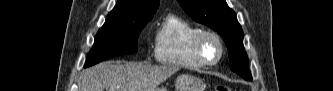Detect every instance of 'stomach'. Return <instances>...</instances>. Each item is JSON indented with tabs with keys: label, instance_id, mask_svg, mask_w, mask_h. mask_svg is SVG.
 <instances>
[{
	"label": "stomach",
	"instance_id": "0dacf381",
	"mask_svg": "<svg viewBox=\"0 0 333 91\" xmlns=\"http://www.w3.org/2000/svg\"><path fill=\"white\" fill-rule=\"evenodd\" d=\"M176 91H204V82L192 75L184 74L177 77L175 82ZM155 91H166L165 88H158Z\"/></svg>",
	"mask_w": 333,
	"mask_h": 91
}]
</instances>
